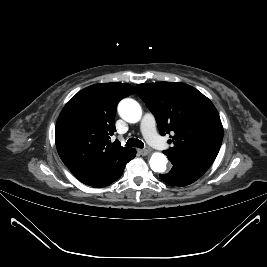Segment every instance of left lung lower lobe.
I'll return each instance as SVG.
<instances>
[{"label": "left lung lower lobe", "mask_w": 267, "mask_h": 267, "mask_svg": "<svg viewBox=\"0 0 267 267\" xmlns=\"http://www.w3.org/2000/svg\"><path fill=\"white\" fill-rule=\"evenodd\" d=\"M173 164L171 171L160 174V179L167 184L175 186H186L200 178L209 168L203 164L184 159L179 155L164 151Z\"/></svg>", "instance_id": "0a47b994"}]
</instances>
